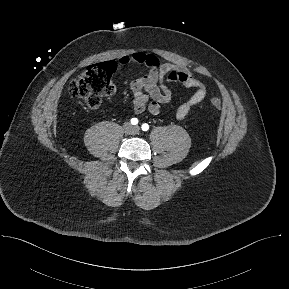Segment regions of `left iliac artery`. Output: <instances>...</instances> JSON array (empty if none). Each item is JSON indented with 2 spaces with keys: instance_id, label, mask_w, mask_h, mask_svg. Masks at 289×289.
Wrapping results in <instances>:
<instances>
[{
  "instance_id": "left-iliac-artery-1",
  "label": "left iliac artery",
  "mask_w": 289,
  "mask_h": 289,
  "mask_svg": "<svg viewBox=\"0 0 289 289\" xmlns=\"http://www.w3.org/2000/svg\"><path fill=\"white\" fill-rule=\"evenodd\" d=\"M141 128L143 131H147L149 129V125L144 123V124H142Z\"/></svg>"
}]
</instances>
